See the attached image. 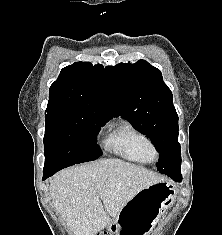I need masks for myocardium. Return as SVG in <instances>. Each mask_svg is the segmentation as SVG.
Returning a JSON list of instances; mask_svg holds the SVG:
<instances>
[{
    "mask_svg": "<svg viewBox=\"0 0 222 235\" xmlns=\"http://www.w3.org/2000/svg\"><path fill=\"white\" fill-rule=\"evenodd\" d=\"M158 157H159L158 151L155 148L153 150H151V152H150L151 161L156 160Z\"/></svg>",
    "mask_w": 222,
    "mask_h": 235,
    "instance_id": "obj_1",
    "label": "myocardium"
}]
</instances>
